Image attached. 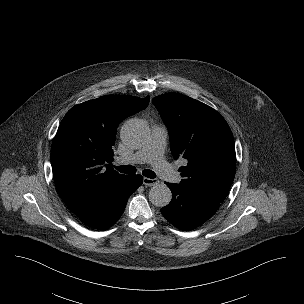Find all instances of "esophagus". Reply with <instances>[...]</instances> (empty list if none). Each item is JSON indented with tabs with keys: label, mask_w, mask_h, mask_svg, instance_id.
<instances>
[{
	"label": "esophagus",
	"mask_w": 304,
	"mask_h": 304,
	"mask_svg": "<svg viewBox=\"0 0 304 304\" xmlns=\"http://www.w3.org/2000/svg\"><path fill=\"white\" fill-rule=\"evenodd\" d=\"M158 183H159V180H157V179H151V178H147V177L143 178V184L146 186H154V185H157Z\"/></svg>",
	"instance_id": "1"
}]
</instances>
